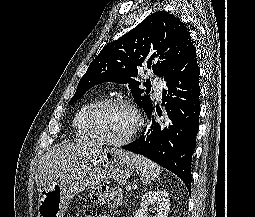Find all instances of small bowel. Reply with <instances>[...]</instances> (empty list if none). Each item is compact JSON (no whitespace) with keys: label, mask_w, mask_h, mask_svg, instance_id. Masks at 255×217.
I'll use <instances>...</instances> for the list:
<instances>
[{"label":"small bowel","mask_w":255,"mask_h":217,"mask_svg":"<svg viewBox=\"0 0 255 217\" xmlns=\"http://www.w3.org/2000/svg\"><path fill=\"white\" fill-rule=\"evenodd\" d=\"M88 217H110V216H107V215H104V214H94V215H90Z\"/></svg>","instance_id":"c3829d8e"}]
</instances>
